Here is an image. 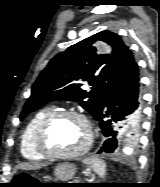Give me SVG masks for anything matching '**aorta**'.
Instances as JSON below:
<instances>
[{
	"instance_id": "762f6f07",
	"label": "aorta",
	"mask_w": 160,
	"mask_h": 187,
	"mask_svg": "<svg viewBox=\"0 0 160 187\" xmlns=\"http://www.w3.org/2000/svg\"><path fill=\"white\" fill-rule=\"evenodd\" d=\"M132 143L129 140L123 141V152L129 154L131 152Z\"/></svg>"
}]
</instances>
